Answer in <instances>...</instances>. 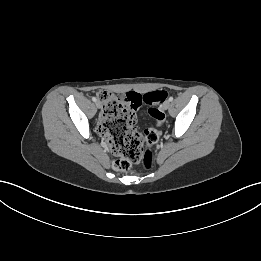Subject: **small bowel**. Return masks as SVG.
<instances>
[{
	"instance_id": "small-bowel-1",
	"label": "small bowel",
	"mask_w": 261,
	"mask_h": 261,
	"mask_svg": "<svg viewBox=\"0 0 261 261\" xmlns=\"http://www.w3.org/2000/svg\"><path fill=\"white\" fill-rule=\"evenodd\" d=\"M135 110H137V109H135ZM135 110L133 111V117H134V121H135ZM102 114H103V113H102ZM140 133H141V135H143V136H144V135H146V133H147V132H146V130H144V129H143V130H141V132H140Z\"/></svg>"
}]
</instances>
